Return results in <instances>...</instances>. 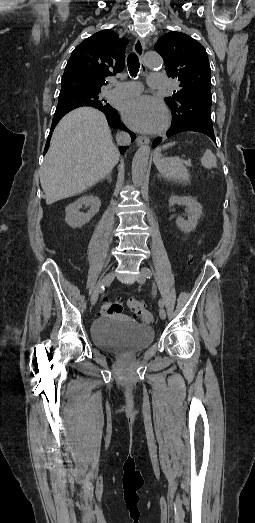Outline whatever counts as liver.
I'll use <instances>...</instances> for the list:
<instances>
[{
    "label": "liver",
    "mask_w": 255,
    "mask_h": 523,
    "mask_svg": "<svg viewBox=\"0 0 255 523\" xmlns=\"http://www.w3.org/2000/svg\"><path fill=\"white\" fill-rule=\"evenodd\" d=\"M107 120L94 108H77L57 124L40 170L46 204L76 196L111 174L120 154Z\"/></svg>",
    "instance_id": "6515ba94"
}]
</instances>
